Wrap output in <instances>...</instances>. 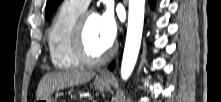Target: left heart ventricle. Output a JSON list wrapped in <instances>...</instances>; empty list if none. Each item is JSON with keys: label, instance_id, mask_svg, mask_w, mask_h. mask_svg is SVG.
Instances as JSON below:
<instances>
[{"label": "left heart ventricle", "instance_id": "b2bd125f", "mask_svg": "<svg viewBox=\"0 0 221 102\" xmlns=\"http://www.w3.org/2000/svg\"><path fill=\"white\" fill-rule=\"evenodd\" d=\"M85 44L91 56L101 55L109 46L99 32L98 16L92 14L87 18L85 27Z\"/></svg>", "mask_w": 221, "mask_h": 102}]
</instances>
